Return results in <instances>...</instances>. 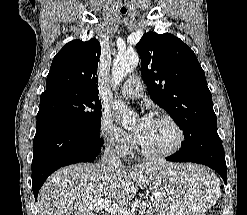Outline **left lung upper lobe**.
I'll return each mask as SVG.
<instances>
[{
	"label": "left lung upper lobe",
	"mask_w": 247,
	"mask_h": 215,
	"mask_svg": "<svg viewBox=\"0 0 247 215\" xmlns=\"http://www.w3.org/2000/svg\"><path fill=\"white\" fill-rule=\"evenodd\" d=\"M141 74L151 99L183 130V146L217 133L212 95L195 53L176 36L148 32L137 44Z\"/></svg>",
	"instance_id": "5c2ea615"
}]
</instances>
